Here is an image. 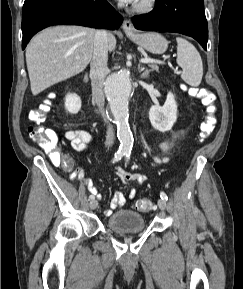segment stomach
Listing matches in <instances>:
<instances>
[{
    "label": "stomach",
    "mask_w": 243,
    "mask_h": 289,
    "mask_svg": "<svg viewBox=\"0 0 243 289\" xmlns=\"http://www.w3.org/2000/svg\"><path fill=\"white\" fill-rule=\"evenodd\" d=\"M127 36L134 43L153 54L164 53L168 47L166 38L157 32L127 34Z\"/></svg>",
    "instance_id": "obj_1"
}]
</instances>
